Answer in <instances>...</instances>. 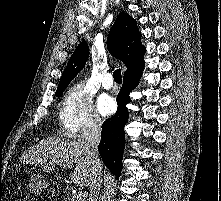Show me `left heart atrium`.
<instances>
[{
	"instance_id": "39dd6f15",
	"label": "left heart atrium",
	"mask_w": 221,
	"mask_h": 201,
	"mask_svg": "<svg viewBox=\"0 0 221 201\" xmlns=\"http://www.w3.org/2000/svg\"><path fill=\"white\" fill-rule=\"evenodd\" d=\"M97 107L99 112L102 115L106 116L112 114L115 111L116 103L111 96L107 94H102L97 100Z\"/></svg>"
}]
</instances>
